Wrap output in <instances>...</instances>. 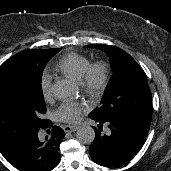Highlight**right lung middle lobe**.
Wrapping results in <instances>:
<instances>
[{
  "label": "right lung middle lobe",
  "instance_id": "1",
  "mask_svg": "<svg viewBox=\"0 0 171 171\" xmlns=\"http://www.w3.org/2000/svg\"><path fill=\"white\" fill-rule=\"evenodd\" d=\"M60 50L22 51L0 66V152L5 158L45 125L42 72Z\"/></svg>",
  "mask_w": 171,
  "mask_h": 171
}]
</instances>
